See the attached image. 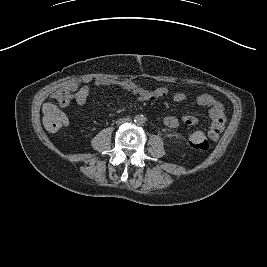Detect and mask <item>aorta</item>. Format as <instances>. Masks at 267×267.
Wrapping results in <instances>:
<instances>
[{
  "label": "aorta",
  "instance_id": "1",
  "mask_svg": "<svg viewBox=\"0 0 267 267\" xmlns=\"http://www.w3.org/2000/svg\"><path fill=\"white\" fill-rule=\"evenodd\" d=\"M145 121H146V118L143 115H137L135 117V122L137 124H143V123H145Z\"/></svg>",
  "mask_w": 267,
  "mask_h": 267
}]
</instances>
